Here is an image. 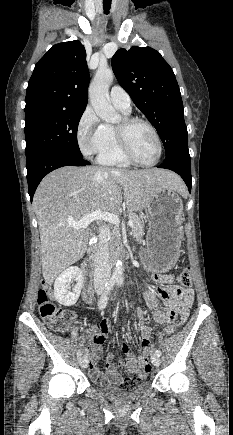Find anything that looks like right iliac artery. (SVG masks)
<instances>
[{
	"mask_svg": "<svg viewBox=\"0 0 233 435\" xmlns=\"http://www.w3.org/2000/svg\"><path fill=\"white\" fill-rule=\"evenodd\" d=\"M117 282L116 278H111L110 281L106 284V288L104 290V293L99 299L98 307L99 309H104L108 302V294L110 293V290L113 288L114 284ZM78 357L82 356V352L78 351L77 353Z\"/></svg>",
	"mask_w": 233,
	"mask_h": 435,
	"instance_id": "right-iliac-artery-1",
	"label": "right iliac artery"
}]
</instances>
